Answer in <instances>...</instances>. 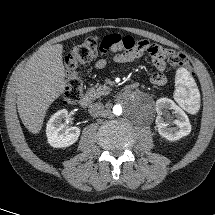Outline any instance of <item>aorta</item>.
Returning a JSON list of instances; mask_svg holds the SVG:
<instances>
[{
  "mask_svg": "<svg viewBox=\"0 0 215 215\" xmlns=\"http://www.w3.org/2000/svg\"><path fill=\"white\" fill-rule=\"evenodd\" d=\"M113 112L115 115H121L122 113V107L120 105H115L113 108Z\"/></svg>",
  "mask_w": 215,
  "mask_h": 215,
  "instance_id": "aorta-1",
  "label": "aorta"
}]
</instances>
